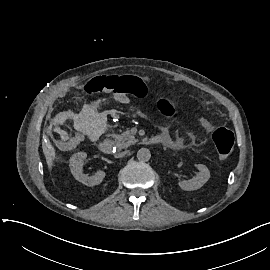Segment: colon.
Returning <instances> with one entry per match:
<instances>
[{
    "mask_svg": "<svg viewBox=\"0 0 270 270\" xmlns=\"http://www.w3.org/2000/svg\"><path fill=\"white\" fill-rule=\"evenodd\" d=\"M84 91L88 95L118 92L136 99H146L149 102H155L156 107L163 115L173 119H178L182 114L175 104L162 99L155 100L148 87L134 74L94 76L86 84ZM212 140L220 157L230 155L235 143L234 134L230 129L226 127L216 128L212 133Z\"/></svg>",
    "mask_w": 270,
    "mask_h": 270,
    "instance_id": "5ec220e1",
    "label": "colon"
}]
</instances>
